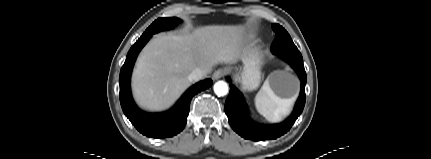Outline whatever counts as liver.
Segmentation results:
<instances>
[{
	"label": "liver",
	"instance_id": "liver-1",
	"mask_svg": "<svg viewBox=\"0 0 431 159\" xmlns=\"http://www.w3.org/2000/svg\"><path fill=\"white\" fill-rule=\"evenodd\" d=\"M244 34L243 26L212 25L156 35L140 53L133 71L136 102L150 111L167 109L190 86L188 76L194 69L209 73L215 64L242 59Z\"/></svg>",
	"mask_w": 431,
	"mask_h": 159
}]
</instances>
